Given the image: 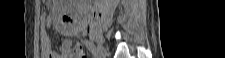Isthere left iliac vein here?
<instances>
[{
	"instance_id": "obj_1",
	"label": "left iliac vein",
	"mask_w": 225,
	"mask_h": 58,
	"mask_svg": "<svg viewBox=\"0 0 225 58\" xmlns=\"http://www.w3.org/2000/svg\"><path fill=\"white\" fill-rule=\"evenodd\" d=\"M97 58H105L107 55V51L104 46L98 45L96 49Z\"/></svg>"
}]
</instances>
